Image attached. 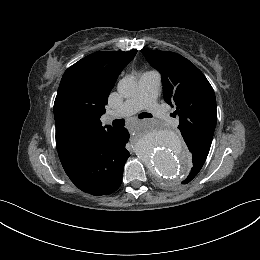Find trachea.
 I'll list each match as a JSON object with an SVG mask.
<instances>
[{
  "instance_id": "trachea-1",
  "label": "trachea",
  "mask_w": 260,
  "mask_h": 260,
  "mask_svg": "<svg viewBox=\"0 0 260 260\" xmlns=\"http://www.w3.org/2000/svg\"><path fill=\"white\" fill-rule=\"evenodd\" d=\"M152 115L150 113L143 112L139 115V118H151ZM113 127L118 129L122 128L125 125V120L124 119H116L112 123Z\"/></svg>"
}]
</instances>
